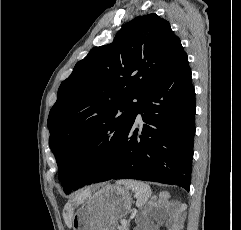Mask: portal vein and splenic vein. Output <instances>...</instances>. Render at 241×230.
Listing matches in <instances>:
<instances>
[{"instance_id": "18ae733b", "label": "portal vein and splenic vein", "mask_w": 241, "mask_h": 230, "mask_svg": "<svg viewBox=\"0 0 241 230\" xmlns=\"http://www.w3.org/2000/svg\"><path fill=\"white\" fill-rule=\"evenodd\" d=\"M121 224L122 225H126L127 224V220H125V219L121 220Z\"/></svg>"}]
</instances>
